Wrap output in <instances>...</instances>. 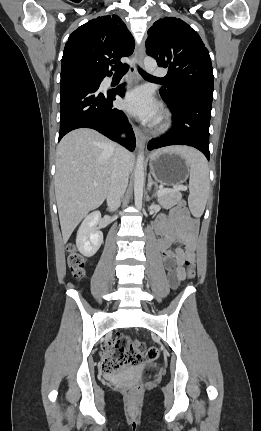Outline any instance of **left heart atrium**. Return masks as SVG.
Here are the masks:
<instances>
[{
	"instance_id": "39dd6f15",
	"label": "left heart atrium",
	"mask_w": 261,
	"mask_h": 431,
	"mask_svg": "<svg viewBox=\"0 0 261 431\" xmlns=\"http://www.w3.org/2000/svg\"><path fill=\"white\" fill-rule=\"evenodd\" d=\"M123 107L146 120L153 121L157 118L158 106L146 88H136L130 91L123 101Z\"/></svg>"
}]
</instances>
